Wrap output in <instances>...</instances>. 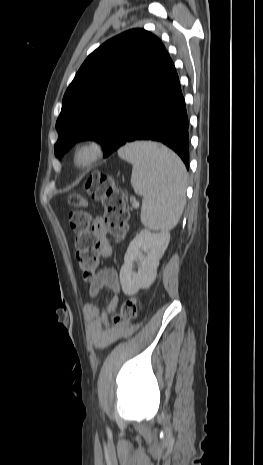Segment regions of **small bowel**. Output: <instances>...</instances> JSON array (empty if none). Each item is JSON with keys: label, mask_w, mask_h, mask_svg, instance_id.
I'll list each match as a JSON object with an SVG mask.
<instances>
[{"label": "small bowel", "mask_w": 263, "mask_h": 465, "mask_svg": "<svg viewBox=\"0 0 263 465\" xmlns=\"http://www.w3.org/2000/svg\"><path fill=\"white\" fill-rule=\"evenodd\" d=\"M93 230L98 240L99 254L102 257H109L112 254V247L108 238L109 230L101 218L95 220ZM103 288H108L114 293L107 304L106 311H101L93 301L88 302L83 309V315L90 323V334L94 345L99 349L106 348L127 334L126 330L113 328L103 330L101 328L102 324L107 321L108 315L116 310L119 303L120 283L115 269L102 268L98 271L89 287L90 298L95 299ZM140 327H143V322H135L133 329H129V334H136Z\"/></svg>", "instance_id": "c3829d8e"}]
</instances>
